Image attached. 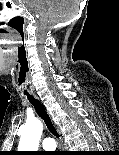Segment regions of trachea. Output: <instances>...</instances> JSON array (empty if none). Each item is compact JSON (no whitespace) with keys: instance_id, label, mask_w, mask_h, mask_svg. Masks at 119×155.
I'll use <instances>...</instances> for the list:
<instances>
[{"instance_id":"3493384b","label":"trachea","mask_w":119,"mask_h":155,"mask_svg":"<svg viewBox=\"0 0 119 155\" xmlns=\"http://www.w3.org/2000/svg\"><path fill=\"white\" fill-rule=\"evenodd\" d=\"M21 90H24L23 96L28 97V100L34 106L35 111L37 112L39 117L44 120V122H45L48 130L50 131V133H52L54 136L59 138V134H58L50 116L48 115L46 109L41 104V102L38 101L37 99H35L32 95H30L28 87H21Z\"/></svg>"}]
</instances>
